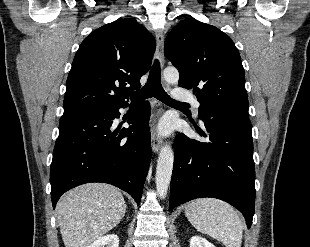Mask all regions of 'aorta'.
Listing matches in <instances>:
<instances>
[{"label": "aorta", "instance_id": "obj_1", "mask_svg": "<svg viewBox=\"0 0 310 247\" xmlns=\"http://www.w3.org/2000/svg\"><path fill=\"white\" fill-rule=\"evenodd\" d=\"M164 79L171 84L177 83L179 73L176 68L168 67L163 72ZM174 163V152L169 143H166L159 153L156 167V191L160 198H165L170 185Z\"/></svg>", "mask_w": 310, "mask_h": 247}]
</instances>
